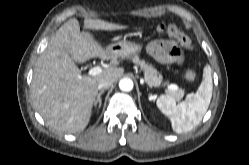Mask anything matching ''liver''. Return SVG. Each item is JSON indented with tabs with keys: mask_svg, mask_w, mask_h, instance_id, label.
I'll list each match as a JSON object with an SVG mask.
<instances>
[{
	"mask_svg": "<svg viewBox=\"0 0 249 165\" xmlns=\"http://www.w3.org/2000/svg\"><path fill=\"white\" fill-rule=\"evenodd\" d=\"M125 26L100 19H84L85 30H121ZM117 59L108 54L89 32L81 34L79 22L72 18L64 23L37 60L31 84V96L36 110L53 129L76 133L89 123L98 83H112L123 75V68H108L96 76L81 75L75 64L91 58Z\"/></svg>",
	"mask_w": 249,
	"mask_h": 165,
	"instance_id": "1",
	"label": "liver"
}]
</instances>
